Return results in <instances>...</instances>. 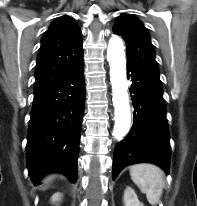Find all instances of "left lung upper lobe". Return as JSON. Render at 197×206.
Segmentation results:
<instances>
[{"instance_id": "left-lung-upper-lobe-1", "label": "left lung upper lobe", "mask_w": 197, "mask_h": 206, "mask_svg": "<svg viewBox=\"0 0 197 206\" xmlns=\"http://www.w3.org/2000/svg\"><path fill=\"white\" fill-rule=\"evenodd\" d=\"M113 33L121 35L126 42L127 64L161 85L155 51L142 22L131 14L120 15L114 24Z\"/></svg>"}]
</instances>
